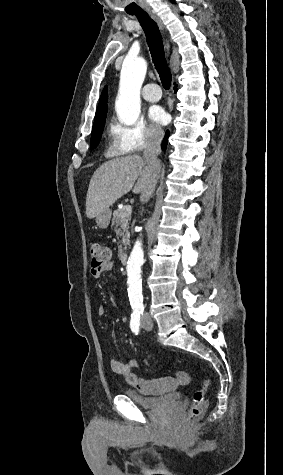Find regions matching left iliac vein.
Returning <instances> with one entry per match:
<instances>
[{
	"label": "left iliac vein",
	"instance_id": "left-iliac-vein-1",
	"mask_svg": "<svg viewBox=\"0 0 283 475\" xmlns=\"http://www.w3.org/2000/svg\"><path fill=\"white\" fill-rule=\"evenodd\" d=\"M142 326L145 330H151L153 328V320L149 314H146L142 320Z\"/></svg>",
	"mask_w": 283,
	"mask_h": 475
}]
</instances>
